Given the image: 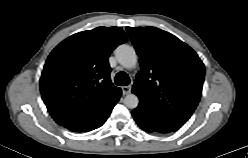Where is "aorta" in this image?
<instances>
[{
  "mask_svg": "<svg viewBox=\"0 0 248 158\" xmlns=\"http://www.w3.org/2000/svg\"><path fill=\"white\" fill-rule=\"evenodd\" d=\"M115 56L118 62L127 69H132L137 64L135 49L129 45L122 44L115 49ZM124 104L130 109H134L139 104V99L135 94H128L124 98Z\"/></svg>",
  "mask_w": 248,
  "mask_h": 158,
  "instance_id": "762f6f07",
  "label": "aorta"
}]
</instances>
